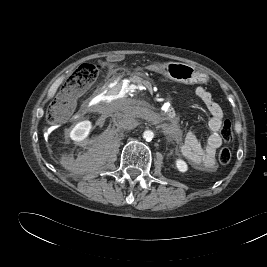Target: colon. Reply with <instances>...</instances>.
<instances>
[{
    "instance_id": "1",
    "label": "colon",
    "mask_w": 267,
    "mask_h": 267,
    "mask_svg": "<svg viewBox=\"0 0 267 267\" xmlns=\"http://www.w3.org/2000/svg\"><path fill=\"white\" fill-rule=\"evenodd\" d=\"M99 66L95 64H82L79 66L64 84L61 92L53 101L48 113L47 121L50 124H59L65 120L75 109L77 99L97 79ZM221 136L225 142L233 140V131L230 121L226 120L221 129ZM231 150L227 147L219 151L218 159L223 165L230 163Z\"/></svg>"
}]
</instances>
